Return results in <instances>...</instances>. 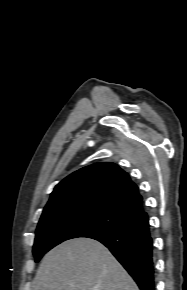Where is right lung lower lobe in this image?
<instances>
[{"label":"right lung lower lobe","mask_w":187,"mask_h":290,"mask_svg":"<svg viewBox=\"0 0 187 290\" xmlns=\"http://www.w3.org/2000/svg\"><path fill=\"white\" fill-rule=\"evenodd\" d=\"M88 238L98 240L109 248L141 290H155L153 246L148 217Z\"/></svg>","instance_id":"98d812e1"}]
</instances>
